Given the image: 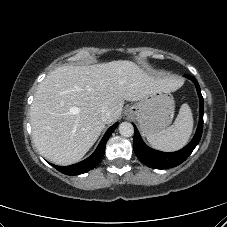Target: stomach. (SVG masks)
I'll use <instances>...</instances> for the list:
<instances>
[{
  "mask_svg": "<svg viewBox=\"0 0 227 227\" xmlns=\"http://www.w3.org/2000/svg\"><path fill=\"white\" fill-rule=\"evenodd\" d=\"M174 99L167 91L150 93L130 106L133 117L139 123L144 136L162 131L172 122Z\"/></svg>",
  "mask_w": 227,
  "mask_h": 227,
  "instance_id": "1",
  "label": "stomach"
}]
</instances>
